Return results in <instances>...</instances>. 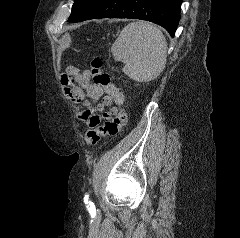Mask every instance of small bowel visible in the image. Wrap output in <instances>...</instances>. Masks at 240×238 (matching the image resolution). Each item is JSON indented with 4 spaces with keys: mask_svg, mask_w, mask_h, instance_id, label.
<instances>
[{
    "mask_svg": "<svg viewBox=\"0 0 240 238\" xmlns=\"http://www.w3.org/2000/svg\"><path fill=\"white\" fill-rule=\"evenodd\" d=\"M61 83L67 98L72 103L83 106L84 109L76 115L79 120L85 121L89 128L120 112V108L113 104V97L104 95L103 87L91 82V73L87 70L67 66L61 76ZM92 103H96L95 107Z\"/></svg>",
    "mask_w": 240,
    "mask_h": 238,
    "instance_id": "obj_1",
    "label": "small bowel"
}]
</instances>
